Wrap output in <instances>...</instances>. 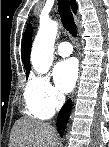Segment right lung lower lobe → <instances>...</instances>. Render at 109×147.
<instances>
[{
    "label": "right lung lower lobe",
    "mask_w": 109,
    "mask_h": 147,
    "mask_svg": "<svg viewBox=\"0 0 109 147\" xmlns=\"http://www.w3.org/2000/svg\"><path fill=\"white\" fill-rule=\"evenodd\" d=\"M71 108H72L71 100H68L59 112L57 118V130L61 136H63L67 121L69 119Z\"/></svg>",
    "instance_id": "98d812e1"
}]
</instances>
